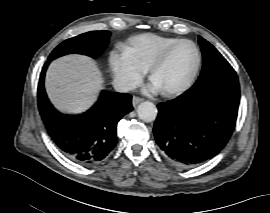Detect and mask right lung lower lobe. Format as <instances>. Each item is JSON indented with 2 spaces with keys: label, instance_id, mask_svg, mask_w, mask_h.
<instances>
[{
  "label": "right lung lower lobe",
  "instance_id": "98d812e1",
  "mask_svg": "<svg viewBox=\"0 0 270 213\" xmlns=\"http://www.w3.org/2000/svg\"><path fill=\"white\" fill-rule=\"evenodd\" d=\"M50 62L45 63L38 84V107L48 134L71 160L83 165L99 163L117 143L116 126L132 111V96L102 91L98 101L85 113L61 114L53 108L44 89V76Z\"/></svg>",
  "mask_w": 270,
  "mask_h": 213
}]
</instances>
